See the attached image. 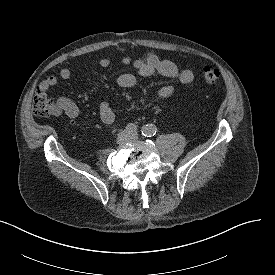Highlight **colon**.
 Listing matches in <instances>:
<instances>
[{
  "label": "colon",
  "instance_id": "5ec220e1",
  "mask_svg": "<svg viewBox=\"0 0 275 275\" xmlns=\"http://www.w3.org/2000/svg\"><path fill=\"white\" fill-rule=\"evenodd\" d=\"M202 81L211 88L217 87L220 73L217 69L204 67L200 72ZM32 107L35 115L49 117L55 109L54 100L47 94L46 90L38 87L33 95Z\"/></svg>",
  "mask_w": 275,
  "mask_h": 275
}]
</instances>
